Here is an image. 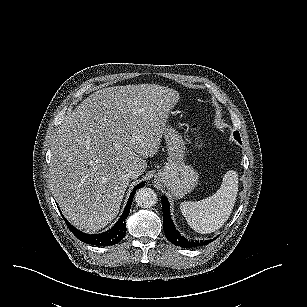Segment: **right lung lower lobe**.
Instances as JSON below:
<instances>
[{
    "label": "right lung lower lobe",
    "mask_w": 307,
    "mask_h": 307,
    "mask_svg": "<svg viewBox=\"0 0 307 307\" xmlns=\"http://www.w3.org/2000/svg\"><path fill=\"white\" fill-rule=\"evenodd\" d=\"M144 186V182L139 183L132 191V193L129 196L128 202L126 204V207L124 209L123 214L121 215L120 219L116 222V224L109 230H107L104 233L100 234H85L79 230H77L75 227H73L64 217V220L70 229V231L82 242L91 244V245H96V246H111L114 245L118 242H120L126 233V222L125 219L127 218L132 200L134 197V194L137 189L141 188Z\"/></svg>",
    "instance_id": "98d812e1"
}]
</instances>
